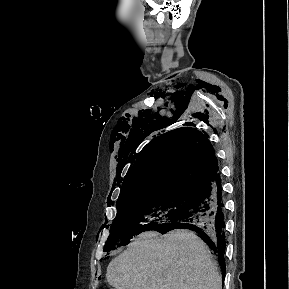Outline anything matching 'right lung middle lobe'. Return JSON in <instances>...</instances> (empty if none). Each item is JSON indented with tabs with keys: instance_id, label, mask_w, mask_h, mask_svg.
Masks as SVG:
<instances>
[{
	"instance_id": "obj_1",
	"label": "right lung middle lobe",
	"mask_w": 289,
	"mask_h": 289,
	"mask_svg": "<svg viewBox=\"0 0 289 289\" xmlns=\"http://www.w3.org/2000/svg\"><path fill=\"white\" fill-rule=\"evenodd\" d=\"M196 193L169 191L129 198L117 203V215L104 251L114 250L147 230H157L170 220L185 214L193 204Z\"/></svg>"
}]
</instances>
